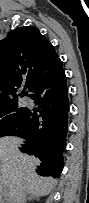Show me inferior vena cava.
Returning a JSON list of instances; mask_svg holds the SVG:
<instances>
[{"instance_id": "inferior-vena-cava-1", "label": "inferior vena cava", "mask_w": 89, "mask_h": 203, "mask_svg": "<svg viewBox=\"0 0 89 203\" xmlns=\"http://www.w3.org/2000/svg\"><path fill=\"white\" fill-rule=\"evenodd\" d=\"M18 203H25V198H24V197H21V198L18 200Z\"/></svg>"}]
</instances>
